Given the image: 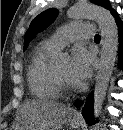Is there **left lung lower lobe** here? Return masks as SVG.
<instances>
[{
  "mask_svg": "<svg viewBox=\"0 0 123 130\" xmlns=\"http://www.w3.org/2000/svg\"><path fill=\"white\" fill-rule=\"evenodd\" d=\"M111 13L115 18L116 24L118 26V31H119V61H118V65H119V67L123 68V22L120 20L119 15L115 10L112 11ZM82 103H83V101L77 100L74 105L76 107H80L82 105ZM93 104H94L93 94H90L85 102L83 109H82V115L88 124L93 123Z\"/></svg>",
  "mask_w": 123,
  "mask_h": 130,
  "instance_id": "1",
  "label": "left lung lower lobe"
}]
</instances>
